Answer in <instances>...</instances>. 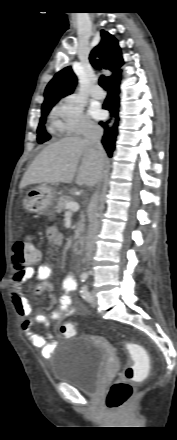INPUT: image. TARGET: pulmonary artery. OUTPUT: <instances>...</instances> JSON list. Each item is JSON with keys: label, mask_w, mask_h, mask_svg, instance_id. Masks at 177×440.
<instances>
[{"label": "pulmonary artery", "mask_w": 177, "mask_h": 440, "mask_svg": "<svg viewBox=\"0 0 177 440\" xmlns=\"http://www.w3.org/2000/svg\"><path fill=\"white\" fill-rule=\"evenodd\" d=\"M91 96L95 99H102L104 97V92L101 88L96 87L91 91Z\"/></svg>", "instance_id": "e3ab8cb5"}]
</instances>
